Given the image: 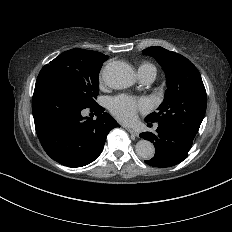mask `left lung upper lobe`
<instances>
[{"label": "left lung upper lobe", "mask_w": 232, "mask_h": 232, "mask_svg": "<svg viewBox=\"0 0 232 232\" xmlns=\"http://www.w3.org/2000/svg\"><path fill=\"white\" fill-rule=\"evenodd\" d=\"M162 66L167 90L158 112L145 120L173 126L194 138L206 112V90L198 69L184 56L159 46L143 50Z\"/></svg>", "instance_id": "left-lung-upper-lobe-1"}]
</instances>
